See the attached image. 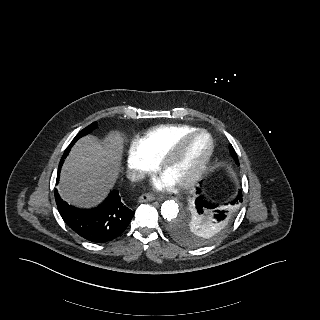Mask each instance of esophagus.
<instances>
[{
  "label": "esophagus",
  "mask_w": 320,
  "mask_h": 320,
  "mask_svg": "<svg viewBox=\"0 0 320 320\" xmlns=\"http://www.w3.org/2000/svg\"><path fill=\"white\" fill-rule=\"evenodd\" d=\"M154 200V196L150 195V194H142L138 201L140 203H144V202H150V201H153Z\"/></svg>",
  "instance_id": "esophagus-1"
}]
</instances>
